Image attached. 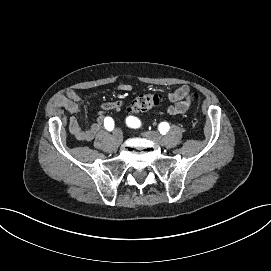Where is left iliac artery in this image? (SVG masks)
I'll list each match as a JSON object with an SVG mask.
<instances>
[{"label": "left iliac artery", "instance_id": "left-iliac-artery-1", "mask_svg": "<svg viewBox=\"0 0 271 271\" xmlns=\"http://www.w3.org/2000/svg\"><path fill=\"white\" fill-rule=\"evenodd\" d=\"M126 124L131 127V128H138L141 123H140V120L137 119L136 117H128L126 119ZM169 130V124L166 123V122H161L159 123L158 125V131L161 132V133H167Z\"/></svg>", "mask_w": 271, "mask_h": 271}]
</instances>
